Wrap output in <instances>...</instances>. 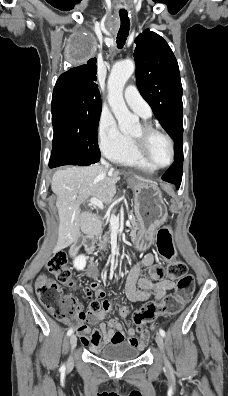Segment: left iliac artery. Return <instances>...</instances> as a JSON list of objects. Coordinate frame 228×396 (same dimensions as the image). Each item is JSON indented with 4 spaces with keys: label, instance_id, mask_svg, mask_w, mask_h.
<instances>
[{
    "label": "left iliac artery",
    "instance_id": "left-iliac-artery-1",
    "mask_svg": "<svg viewBox=\"0 0 228 396\" xmlns=\"http://www.w3.org/2000/svg\"><path fill=\"white\" fill-rule=\"evenodd\" d=\"M159 333L161 334L162 337H165V331L163 329H159Z\"/></svg>",
    "mask_w": 228,
    "mask_h": 396
}]
</instances>
